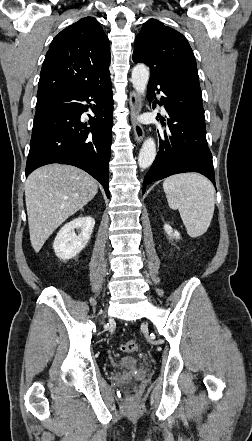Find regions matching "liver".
I'll return each mask as SVG.
<instances>
[{
	"label": "liver",
	"mask_w": 252,
	"mask_h": 441,
	"mask_svg": "<svg viewBox=\"0 0 252 441\" xmlns=\"http://www.w3.org/2000/svg\"><path fill=\"white\" fill-rule=\"evenodd\" d=\"M97 192L96 180L74 166L51 164L33 171L25 184V200L30 241L35 252Z\"/></svg>",
	"instance_id": "liver-1"
}]
</instances>
